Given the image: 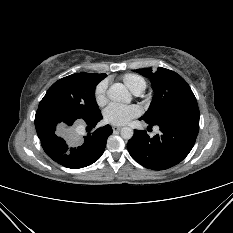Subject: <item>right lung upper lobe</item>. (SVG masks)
Masks as SVG:
<instances>
[{
  "label": "right lung upper lobe",
  "instance_id": "right-lung-upper-lobe-1",
  "mask_svg": "<svg viewBox=\"0 0 233 233\" xmlns=\"http://www.w3.org/2000/svg\"><path fill=\"white\" fill-rule=\"evenodd\" d=\"M99 82L106 77V74H92Z\"/></svg>",
  "mask_w": 233,
  "mask_h": 233
}]
</instances>
